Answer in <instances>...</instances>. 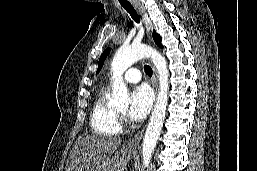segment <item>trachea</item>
<instances>
[{
    "instance_id": "obj_1",
    "label": "trachea",
    "mask_w": 257,
    "mask_h": 171,
    "mask_svg": "<svg viewBox=\"0 0 257 171\" xmlns=\"http://www.w3.org/2000/svg\"><path fill=\"white\" fill-rule=\"evenodd\" d=\"M121 6L130 14L132 19L136 23H140L139 15L137 14L136 10L130 3H121ZM144 70L149 77L152 76V68L149 65H145Z\"/></svg>"
}]
</instances>
